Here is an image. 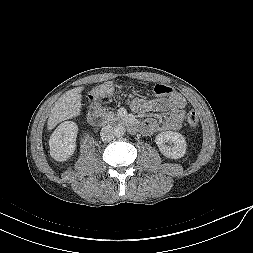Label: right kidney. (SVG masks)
<instances>
[{
  "instance_id": "1",
  "label": "right kidney",
  "mask_w": 253,
  "mask_h": 253,
  "mask_svg": "<svg viewBox=\"0 0 253 253\" xmlns=\"http://www.w3.org/2000/svg\"><path fill=\"white\" fill-rule=\"evenodd\" d=\"M77 125L66 121L60 124L49 139L50 155L58 161L68 160L76 149Z\"/></svg>"
}]
</instances>
